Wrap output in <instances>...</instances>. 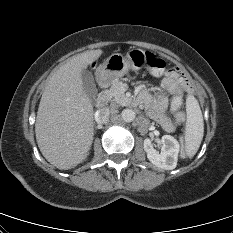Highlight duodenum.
<instances>
[{"instance_id":"1","label":"duodenum","mask_w":233,"mask_h":233,"mask_svg":"<svg viewBox=\"0 0 233 233\" xmlns=\"http://www.w3.org/2000/svg\"><path fill=\"white\" fill-rule=\"evenodd\" d=\"M100 85L103 89H105L108 85L107 79L102 77L100 80ZM107 102H108V94L105 91H102L96 99V106L98 108H103L107 105Z\"/></svg>"}]
</instances>
